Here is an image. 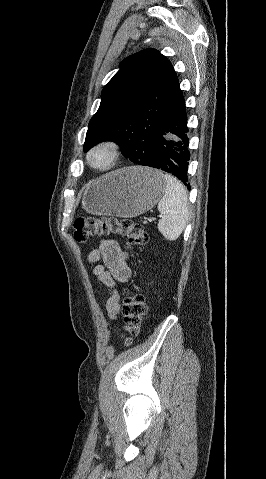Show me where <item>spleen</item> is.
Instances as JSON below:
<instances>
[{"label":"spleen","mask_w":266,"mask_h":479,"mask_svg":"<svg viewBox=\"0 0 266 479\" xmlns=\"http://www.w3.org/2000/svg\"><path fill=\"white\" fill-rule=\"evenodd\" d=\"M165 191L158 203L162 218L159 232L169 241L179 238L189 220L188 195L184 185L170 174L165 175Z\"/></svg>","instance_id":"spleen-1"}]
</instances>
